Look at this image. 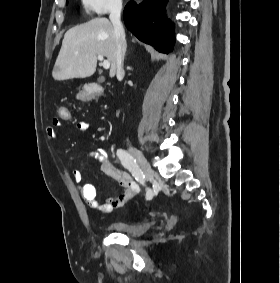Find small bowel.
Returning <instances> with one entry per match:
<instances>
[{"instance_id": "1", "label": "small bowel", "mask_w": 280, "mask_h": 283, "mask_svg": "<svg viewBox=\"0 0 280 283\" xmlns=\"http://www.w3.org/2000/svg\"><path fill=\"white\" fill-rule=\"evenodd\" d=\"M60 126L61 122H59L58 119H54L52 124L46 129L48 138H56L58 135V128ZM76 128L80 133H85L89 128V124L86 121H79L76 124ZM90 156L96 158L101 163V169L104 174L114 179L123 188V192L118 196L108 198L103 203H100L96 197L95 186L91 183L82 184V172L78 169L73 170V180L77 184H82L80 187V194L83 201L90 208L100 213L108 214L113 210L124 206L138 194L140 190L138 183L127 172L118 168L110 160L109 153L104 147L96 148V150L90 153Z\"/></svg>"}]
</instances>
